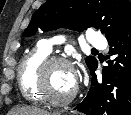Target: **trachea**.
<instances>
[{
  "instance_id": "trachea-1",
  "label": "trachea",
  "mask_w": 131,
  "mask_h": 115,
  "mask_svg": "<svg viewBox=\"0 0 131 115\" xmlns=\"http://www.w3.org/2000/svg\"><path fill=\"white\" fill-rule=\"evenodd\" d=\"M93 51H97L95 48H92Z\"/></svg>"
}]
</instances>
